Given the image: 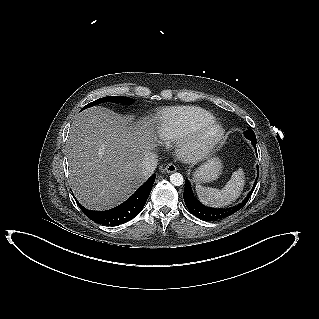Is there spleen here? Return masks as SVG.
Instances as JSON below:
<instances>
[{
  "mask_svg": "<svg viewBox=\"0 0 319 319\" xmlns=\"http://www.w3.org/2000/svg\"><path fill=\"white\" fill-rule=\"evenodd\" d=\"M245 186V173L242 168L234 171L230 180L221 189L196 186V193L199 200L212 207L226 206L234 202L241 195Z\"/></svg>",
  "mask_w": 319,
  "mask_h": 319,
  "instance_id": "spleen-1",
  "label": "spleen"
}]
</instances>
